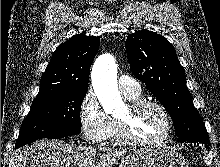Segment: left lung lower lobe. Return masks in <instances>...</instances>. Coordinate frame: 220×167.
Here are the masks:
<instances>
[{"instance_id": "left-lung-lower-lobe-1", "label": "left lung lower lobe", "mask_w": 220, "mask_h": 167, "mask_svg": "<svg viewBox=\"0 0 220 167\" xmlns=\"http://www.w3.org/2000/svg\"><path fill=\"white\" fill-rule=\"evenodd\" d=\"M190 142H200V143H203L204 145L208 144V141H204V140H197V141H190Z\"/></svg>"}]
</instances>
